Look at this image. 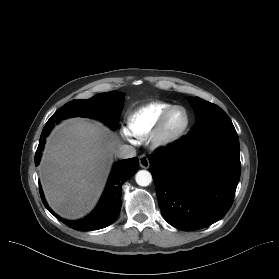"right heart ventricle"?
Instances as JSON below:
<instances>
[{
  "mask_svg": "<svg viewBox=\"0 0 279 279\" xmlns=\"http://www.w3.org/2000/svg\"><path fill=\"white\" fill-rule=\"evenodd\" d=\"M172 104L167 102H151L141 106L127 117L128 134L144 138L156 125L161 114Z\"/></svg>",
  "mask_w": 279,
  "mask_h": 279,
  "instance_id": "1",
  "label": "right heart ventricle"
}]
</instances>
